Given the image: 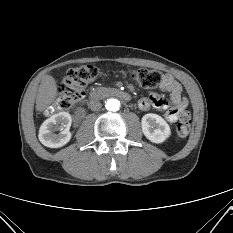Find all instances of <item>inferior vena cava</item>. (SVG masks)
<instances>
[{
	"mask_svg": "<svg viewBox=\"0 0 233 233\" xmlns=\"http://www.w3.org/2000/svg\"><path fill=\"white\" fill-rule=\"evenodd\" d=\"M88 106L92 111H99L102 107V104L99 101L92 100V101H90Z\"/></svg>",
	"mask_w": 233,
	"mask_h": 233,
	"instance_id": "inferior-vena-cava-1",
	"label": "inferior vena cava"
}]
</instances>
